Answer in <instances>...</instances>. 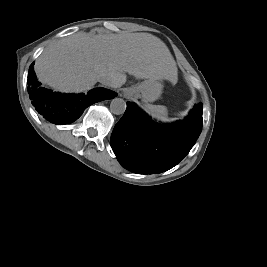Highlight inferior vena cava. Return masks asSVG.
<instances>
[{
	"instance_id": "obj_1",
	"label": "inferior vena cava",
	"mask_w": 267,
	"mask_h": 267,
	"mask_svg": "<svg viewBox=\"0 0 267 267\" xmlns=\"http://www.w3.org/2000/svg\"><path fill=\"white\" fill-rule=\"evenodd\" d=\"M99 82L105 86L114 87V80L107 76H101Z\"/></svg>"
}]
</instances>
